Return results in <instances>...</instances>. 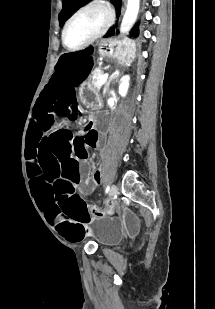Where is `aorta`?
<instances>
[{
    "label": "aorta",
    "instance_id": "obj_1",
    "mask_svg": "<svg viewBox=\"0 0 215 309\" xmlns=\"http://www.w3.org/2000/svg\"><path fill=\"white\" fill-rule=\"evenodd\" d=\"M140 0H128L126 12L120 26V32L131 30L139 12Z\"/></svg>",
    "mask_w": 215,
    "mask_h": 309
}]
</instances>
